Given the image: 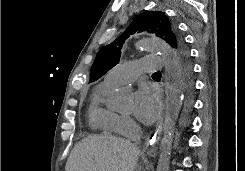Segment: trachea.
Masks as SVG:
<instances>
[{
	"label": "trachea",
	"mask_w": 245,
	"mask_h": 171,
	"mask_svg": "<svg viewBox=\"0 0 245 171\" xmlns=\"http://www.w3.org/2000/svg\"><path fill=\"white\" fill-rule=\"evenodd\" d=\"M156 74H160V72H156V73H154V75H156Z\"/></svg>",
	"instance_id": "trachea-1"
}]
</instances>
